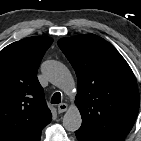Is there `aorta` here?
<instances>
[{
    "instance_id": "obj_1",
    "label": "aorta",
    "mask_w": 141,
    "mask_h": 141,
    "mask_svg": "<svg viewBox=\"0 0 141 141\" xmlns=\"http://www.w3.org/2000/svg\"><path fill=\"white\" fill-rule=\"evenodd\" d=\"M42 72L49 82L66 93H70L75 88V82L69 69L61 62L47 60L41 66ZM82 118L77 107H70L63 117V126L67 131L74 132L81 127Z\"/></svg>"
}]
</instances>
